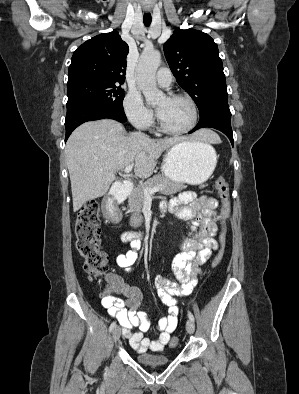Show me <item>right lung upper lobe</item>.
I'll return each mask as SVG.
<instances>
[{
    "instance_id": "cb5924a9",
    "label": "right lung upper lobe",
    "mask_w": 299,
    "mask_h": 394,
    "mask_svg": "<svg viewBox=\"0 0 299 394\" xmlns=\"http://www.w3.org/2000/svg\"><path fill=\"white\" fill-rule=\"evenodd\" d=\"M129 48L117 31L87 40L73 53L68 87L92 82L122 84Z\"/></svg>"
}]
</instances>
